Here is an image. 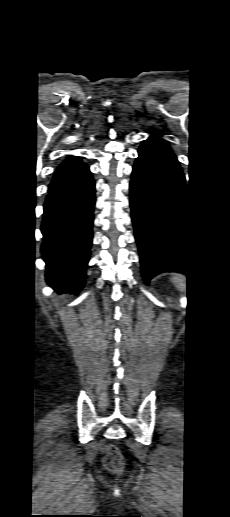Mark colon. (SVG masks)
Masks as SVG:
<instances>
[{"label": "colon", "mask_w": 230, "mask_h": 517, "mask_svg": "<svg viewBox=\"0 0 230 517\" xmlns=\"http://www.w3.org/2000/svg\"><path fill=\"white\" fill-rule=\"evenodd\" d=\"M103 465L112 472H120L124 467V459L119 449L114 445H107L103 450Z\"/></svg>", "instance_id": "obj_1"}]
</instances>
